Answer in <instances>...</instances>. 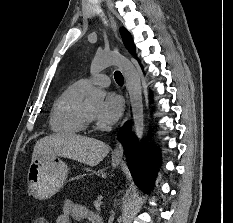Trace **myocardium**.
I'll use <instances>...</instances> for the list:
<instances>
[{
  "mask_svg": "<svg viewBox=\"0 0 233 223\" xmlns=\"http://www.w3.org/2000/svg\"><path fill=\"white\" fill-rule=\"evenodd\" d=\"M83 122L85 127H88L95 123V117L90 113L87 105H84L83 107Z\"/></svg>",
  "mask_w": 233,
  "mask_h": 223,
  "instance_id": "obj_1",
  "label": "myocardium"
}]
</instances>
